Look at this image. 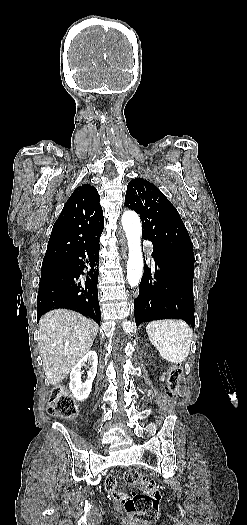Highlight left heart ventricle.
<instances>
[{"label":"left heart ventricle","mask_w":247,"mask_h":525,"mask_svg":"<svg viewBox=\"0 0 247 525\" xmlns=\"http://www.w3.org/2000/svg\"><path fill=\"white\" fill-rule=\"evenodd\" d=\"M137 266H138V264H132V268H133V269H136Z\"/></svg>","instance_id":"b2bd125f"}]
</instances>
